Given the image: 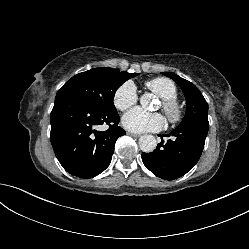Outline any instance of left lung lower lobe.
<instances>
[{
	"label": "left lung lower lobe",
	"mask_w": 249,
	"mask_h": 249,
	"mask_svg": "<svg viewBox=\"0 0 249 249\" xmlns=\"http://www.w3.org/2000/svg\"><path fill=\"white\" fill-rule=\"evenodd\" d=\"M208 120L198 119L178 126L171 133L159 135L171 137L151 153H142L144 165L156 176L173 180L185 175L198 162L208 133Z\"/></svg>",
	"instance_id": "0a47b994"
}]
</instances>
